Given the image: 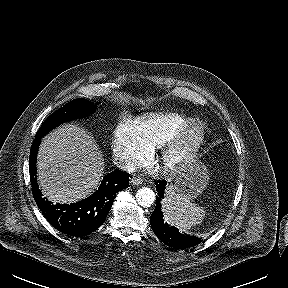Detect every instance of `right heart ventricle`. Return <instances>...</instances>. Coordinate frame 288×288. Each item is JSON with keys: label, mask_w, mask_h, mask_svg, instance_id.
Wrapping results in <instances>:
<instances>
[{"label": "right heart ventricle", "mask_w": 288, "mask_h": 288, "mask_svg": "<svg viewBox=\"0 0 288 288\" xmlns=\"http://www.w3.org/2000/svg\"><path fill=\"white\" fill-rule=\"evenodd\" d=\"M189 120V117L179 113L160 112L141 117L138 124L145 140L152 148H156Z\"/></svg>", "instance_id": "right-heart-ventricle-1"}]
</instances>
